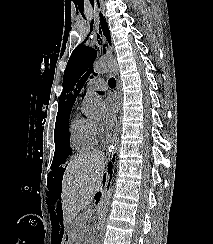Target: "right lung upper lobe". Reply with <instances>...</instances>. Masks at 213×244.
I'll return each mask as SVG.
<instances>
[{
	"mask_svg": "<svg viewBox=\"0 0 213 244\" xmlns=\"http://www.w3.org/2000/svg\"><path fill=\"white\" fill-rule=\"evenodd\" d=\"M75 102V101H74ZM74 102L67 108V111H66V113H68V112H70L71 111V108H72V106H73V104H74Z\"/></svg>",
	"mask_w": 213,
	"mask_h": 244,
	"instance_id": "obj_1",
	"label": "right lung upper lobe"
}]
</instances>
